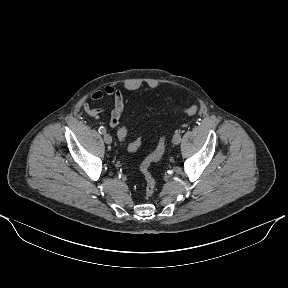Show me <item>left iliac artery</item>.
I'll use <instances>...</instances> for the list:
<instances>
[{
  "mask_svg": "<svg viewBox=\"0 0 288 288\" xmlns=\"http://www.w3.org/2000/svg\"><path fill=\"white\" fill-rule=\"evenodd\" d=\"M175 134H176L177 136H183V135H184V130H183V129H177V130L175 131Z\"/></svg>",
  "mask_w": 288,
  "mask_h": 288,
  "instance_id": "left-iliac-artery-1",
  "label": "left iliac artery"
}]
</instances>
